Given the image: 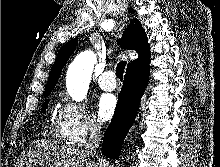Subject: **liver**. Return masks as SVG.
I'll return each instance as SVG.
<instances>
[{
  "label": "liver",
  "instance_id": "6515ba94",
  "mask_svg": "<svg viewBox=\"0 0 220 167\" xmlns=\"http://www.w3.org/2000/svg\"><path fill=\"white\" fill-rule=\"evenodd\" d=\"M91 157L79 147L37 140L21 153L15 167H106L104 160L95 162Z\"/></svg>",
  "mask_w": 220,
  "mask_h": 167
}]
</instances>
